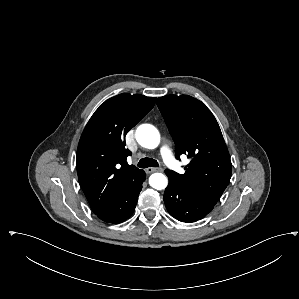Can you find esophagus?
I'll return each instance as SVG.
<instances>
[{"label": "esophagus", "instance_id": "obj_1", "mask_svg": "<svg viewBox=\"0 0 299 299\" xmlns=\"http://www.w3.org/2000/svg\"><path fill=\"white\" fill-rule=\"evenodd\" d=\"M162 170H163L162 168H151V167H149V168L145 169V172L147 174H150V173H153V172H161Z\"/></svg>", "mask_w": 299, "mask_h": 299}]
</instances>
